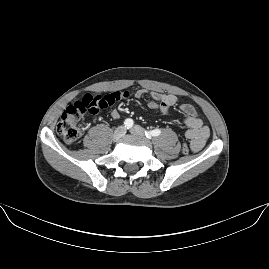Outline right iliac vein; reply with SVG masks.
I'll list each match as a JSON object with an SVG mask.
<instances>
[{"label": "right iliac vein", "mask_w": 269, "mask_h": 269, "mask_svg": "<svg viewBox=\"0 0 269 269\" xmlns=\"http://www.w3.org/2000/svg\"><path fill=\"white\" fill-rule=\"evenodd\" d=\"M126 134V130L123 126L118 127L113 135L114 141H119Z\"/></svg>", "instance_id": "right-iliac-vein-1"}]
</instances>
